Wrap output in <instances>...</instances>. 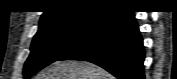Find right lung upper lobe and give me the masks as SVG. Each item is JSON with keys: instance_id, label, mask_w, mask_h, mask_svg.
<instances>
[{"instance_id": "cb5924a9", "label": "right lung upper lobe", "mask_w": 177, "mask_h": 79, "mask_svg": "<svg viewBox=\"0 0 177 79\" xmlns=\"http://www.w3.org/2000/svg\"><path fill=\"white\" fill-rule=\"evenodd\" d=\"M52 10L43 13L40 26L91 15H104L106 12L122 7L119 2L104 0H61L53 2Z\"/></svg>"}]
</instances>
